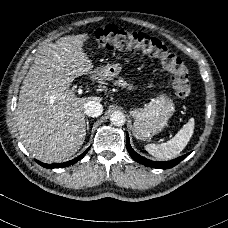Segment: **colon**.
<instances>
[{"label":"colon","instance_id":"obj_1","mask_svg":"<svg viewBox=\"0 0 228 228\" xmlns=\"http://www.w3.org/2000/svg\"><path fill=\"white\" fill-rule=\"evenodd\" d=\"M95 38L104 48L140 49L157 58L170 73L174 94L179 98L190 95L189 76L183 61L158 38L114 25L99 27Z\"/></svg>","mask_w":228,"mask_h":228}]
</instances>
